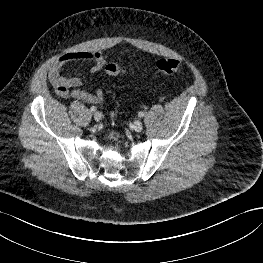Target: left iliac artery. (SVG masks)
I'll list each match as a JSON object with an SVG mask.
<instances>
[{"label": "left iliac artery", "instance_id": "1", "mask_svg": "<svg viewBox=\"0 0 263 263\" xmlns=\"http://www.w3.org/2000/svg\"><path fill=\"white\" fill-rule=\"evenodd\" d=\"M138 115H139V117H143V116H144V112L140 111V112L138 113Z\"/></svg>", "mask_w": 263, "mask_h": 263}]
</instances>
